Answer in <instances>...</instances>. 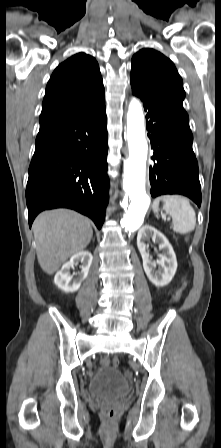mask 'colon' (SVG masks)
<instances>
[{
	"instance_id": "obj_1",
	"label": "colon",
	"mask_w": 221,
	"mask_h": 448,
	"mask_svg": "<svg viewBox=\"0 0 221 448\" xmlns=\"http://www.w3.org/2000/svg\"><path fill=\"white\" fill-rule=\"evenodd\" d=\"M185 287H186V282L184 281V282H183V283H182V284L175 290V292H174V294H173V299H174V301H178V300L180 299V297L182 296V293H183ZM101 364H102L103 366H108V365L110 364V360L107 359V358H104V359L101 360ZM112 365L115 366V367L119 366V360H118V359H113V360H112ZM124 375H125L127 378H130V377H131V372H130L129 370H126V371L124 372ZM116 416H117V411H116L113 407L108 406V407H105V408L103 409V417H104L105 420L112 421V420H114V419L116 418Z\"/></svg>"
}]
</instances>
